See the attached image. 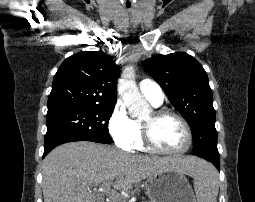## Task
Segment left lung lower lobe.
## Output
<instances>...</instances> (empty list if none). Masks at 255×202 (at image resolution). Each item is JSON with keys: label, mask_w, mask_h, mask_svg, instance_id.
Returning a JSON list of instances; mask_svg holds the SVG:
<instances>
[{"label": "left lung lower lobe", "mask_w": 255, "mask_h": 202, "mask_svg": "<svg viewBox=\"0 0 255 202\" xmlns=\"http://www.w3.org/2000/svg\"><path fill=\"white\" fill-rule=\"evenodd\" d=\"M206 160L211 162L218 170L220 169V159L207 158Z\"/></svg>", "instance_id": "0a47b994"}]
</instances>
